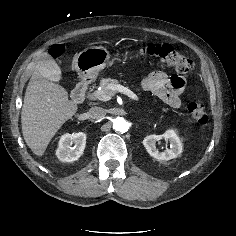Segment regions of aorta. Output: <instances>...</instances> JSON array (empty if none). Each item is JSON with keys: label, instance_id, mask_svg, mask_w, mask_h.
<instances>
[{"label": "aorta", "instance_id": "obj_1", "mask_svg": "<svg viewBox=\"0 0 236 236\" xmlns=\"http://www.w3.org/2000/svg\"><path fill=\"white\" fill-rule=\"evenodd\" d=\"M113 129L119 132H126L129 129V124L124 118H116L113 122Z\"/></svg>", "mask_w": 236, "mask_h": 236}]
</instances>
